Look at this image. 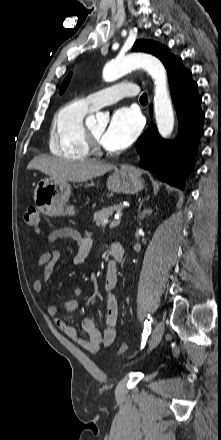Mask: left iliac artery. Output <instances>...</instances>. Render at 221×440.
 I'll use <instances>...</instances> for the list:
<instances>
[{
  "instance_id": "44dca946",
  "label": "left iliac artery",
  "mask_w": 221,
  "mask_h": 440,
  "mask_svg": "<svg viewBox=\"0 0 221 440\" xmlns=\"http://www.w3.org/2000/svg\"><path fill=\"white\" fill-rule=\"evenodd\" d=\"M148 319H150V320H145V322H144V330H143V334H142L143 342L141 344L142 348L144 347V345L146 343L147 337L151 333V321H152V318L150 317V315H148Z\"/></svg>"
}]
</instances>
